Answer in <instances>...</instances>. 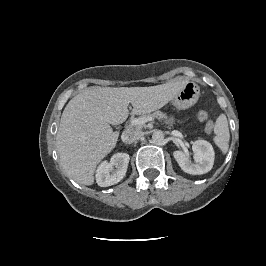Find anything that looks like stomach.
<instances>
[{
	"label": "stomach",
	"instance_id": "0dacf381",
	"mask_svg": "<svg viewBox=\"0 0 266 266\" xmlns=\"http://www.w3.org/2000/svg\"><path fill=\"white\" fill-rule=\"evenodd\" d=\"M199 95V86L193 81H186L173 97L172 104L178 109H187L197 102Z\"/></svg>",
	"mask_w": 266,
	"mask_h": 266
}]
</instances>
